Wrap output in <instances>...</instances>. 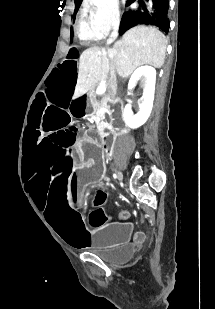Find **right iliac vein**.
I'll return each mask as SVG.
<instances>
[{
  "label": "right iliac vein",
  "mask_w": 215,
  "mask_h": 309,
  "mask_svg": "<svg viewBox=\"0 0 215 309\" xmlns=\"http://www.w3.org/2000/svg\"><path fill=\"white\" fill-rule=\"evenodd\" d=\"M117 177H118L119 180H122V173L118 171L117 172Z\"/></svg>",
  "instance_id": "1"
}]
</instances>
